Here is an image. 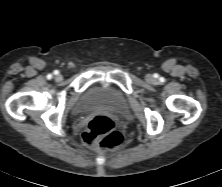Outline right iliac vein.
Returning a JSON list of instances; mask_svg holds the SVG:
<instances>
[{"mask_svg":"<svg viewBox=\"0 0 222 187\" xmlns=\"http://www.w3.org/2000/svg\"><path fill=\"white\" fill-rule=\"evenodd\" d=\"M56 80H57V81H61V80H62V76H61L60 74H58V75L56 76Z\"/></svg>","mask_w":222,"mask_h":187,"instance_id":"1","label":"right iliac vein"}]
</instances>
